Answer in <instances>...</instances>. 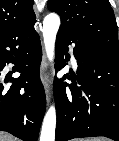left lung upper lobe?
<instances>
[{"label":"left lung upper lobe","instance_id":"obj_1","mask_svg":"<svg viewBox=\"0 0 119 141\" xmlns=\"http://www.w3.org/2000/svg\"><path fill=\"white\" fill-rule=\"evenodd\" d=\"M48 8L60 15V29L71 31L96 50L119 55L118 27L108 0H49Z\"/></svg>","mask_w":119,"mask_h":141}]
</instances>
